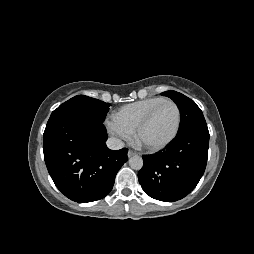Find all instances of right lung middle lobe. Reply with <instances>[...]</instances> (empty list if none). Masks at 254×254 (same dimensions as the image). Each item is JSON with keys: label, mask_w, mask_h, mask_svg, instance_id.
<instances>
[{"label": "right lung middle lobe", "mask_w": 254, "mask_h": 254, "mask_svg": "<svg viewBox=\"0 0 254 254\" xmlns=\"http://www.w3.org/2000/svg\"><path fill=\"white\" fill-rule=\"evenodd\" d=\"M109 106L110 103L78 95L61 104L52 112L51 117L62 113H75L103 123L109 111Z\"/></svg>", "instance_id": "obj_1"}]
</instances>
